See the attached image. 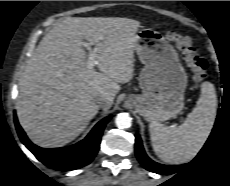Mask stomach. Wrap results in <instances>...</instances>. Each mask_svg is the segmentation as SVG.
<instances>
[{
    "instance_id": "stomach-1",
    "label": "stomach",
    "mask_w": 230,
    "mask_h": 186,
    "mask_svg": "<svg viewBox=\"0 0 230 186\" xmlns=\"http://www.w3.org/2000/svg\"><path fill=\"white\" fill-rule=\"evenodd\" d=\"M135 50L144 64L140 72L141 95H129L128 101L147 121H165L176 117L184 107L187 73L178 53L161 33L141 29Z\"/></svg>"
}]
</instances>
